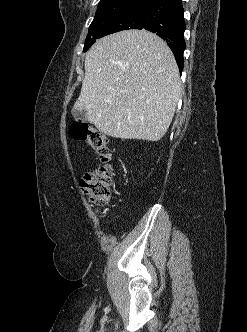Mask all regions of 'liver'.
<instances>
[{
  "mask_svg": "<svg viewBox=\"0 0 247 332\" xmlns=\"http://www.w3.org/2000/svg\"><path fill=\"white\" fill-rule=\"evenodd\" d=\"M180 94L178 66L167 44L149 31L125 30L97 40L88 51L74 108L85 109L88 122L105 135L158 141Z\"/></svg>",
  "mask_w": 247,
  "mask_h": 332,
  "instance_id": "1",
  "label": "liver"
}]
</instances>
